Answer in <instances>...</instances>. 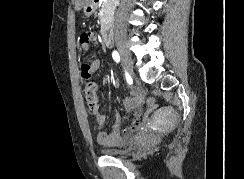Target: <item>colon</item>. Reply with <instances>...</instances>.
Segmentation results:
<instances>
[{"instance_id": "1", "label": "colon", "mask_w": 244, "mask_h": 179, "mask_svg": "<svg viewBox=\"0 0 244 179\" xmlns=\"http://www.w3.org/2000/svg\"><path fill=\"white\" fill-rule=\"evenodd\" d=\"M84 98L89 103L91 108H95L97 99H98V86L94 81L88 82L83 90ZM146 100L149 101L150 104H154L157 100L156 96H147ZM151 106V105H150Z\"/></svg>"}]
</instances>
